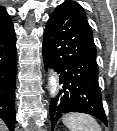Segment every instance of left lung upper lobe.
<instances>
[{
  "label": "left lung upper lobe",
  "instance_id": "1",
  "mask_svg": "<svg viewBox=\"0 0 117 131\" xmlns=\"http://www.w3.org/2000/svg\"><path fill=\"white\" fill-rule=\"evenodd\" d=\"M76 9L77 11L80 13V15L82 16L83 20L85 21L88 29H89V32L91 34V36L93 37V34H92V29L90 27V25L88 24V21L86 19V15H85V12H84V9L82 8V6H80L78 3L74 2V1H69Z\"/></svg>",
  "mask_w": 117,
  "mask_h": 131
}]
</instances>
